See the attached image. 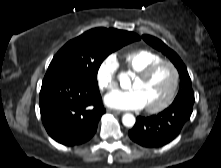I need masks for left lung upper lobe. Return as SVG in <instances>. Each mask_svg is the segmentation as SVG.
<instances>
[{"instance_id":"left-lung-upper-lobe-1","label":"left lung upper lobe","mask_w":221,"mask_h":168,"mask_svg":"<svg viewBox=\"0 0 221 168\" xmlns=\"http://www.w3.org/2000/svg\"><path fill=\"white\" fill-rule=\"evenodd\" d=\"M142 37L152 47L165 54L176 66L180 75V89L174 101L184 98L194 99V93L191 87V79L187 72V68L185 67L180 57L161 40L149 35H143Z\"/></svg>"}]
</instances>
